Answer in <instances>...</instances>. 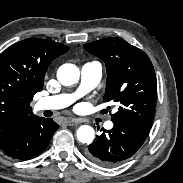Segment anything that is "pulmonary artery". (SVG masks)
<instances>
[{"label": "pulmonary artery", "mask_w": 183, "mask_h": 183, "mask_svg": "<svg viewBox=\"0 0 183 183\" xmlns=\"http://www.w3.org/2000/svg\"><path fill=\"white\" fill-rule=\"evenodd\" d=\"M102 77V65L98 61L85 63L81 68V83L79 88L73 94H59L41 98L35 104L38 111L41 110H58L69 106L77 98L85 95L98 85ZM113 123L108 121L105 128L111 129Z\"/></svg>", "instance_id": "1"}]
</instances>
